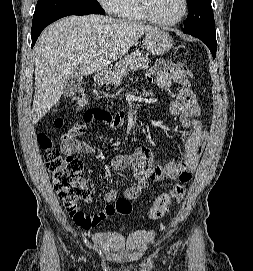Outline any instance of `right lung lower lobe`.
Returning <instances> with one entry per match:
<instances>
[{
    "mask_svg": "<svg viewBox=\"0 0 253 271\" xmlns=\"http://www.w3.org/2000/svg\"><path fill=\"white\" fill-rule=\"evenodd\" d=\"M69 15H74V14H67V15H63L57 18H54L52 20L47 21L45 24H43L42 26H40L39 28L31 31V35H32V47L34 46V44L36 43V40L38 39V36L40 35V33L42 32V30L49 24H51L52 22L58 20L59 18L65 17V16H69Z\"/></svg>",
    "mask_w": 253,
    "mask_h": 271,
    "instance_id": "1",
    "label": "right lung lower lobe"
}]
</instances>
